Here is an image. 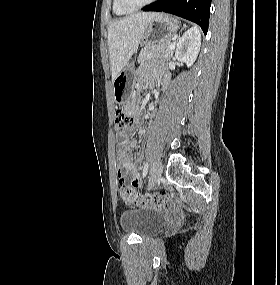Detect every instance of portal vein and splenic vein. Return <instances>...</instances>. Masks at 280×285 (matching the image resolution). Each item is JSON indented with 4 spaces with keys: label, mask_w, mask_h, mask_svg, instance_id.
I'll use <instances>...</instances> for the list:
<instances>
[{
    "label": "portal vein and splenic vein",
    "mask_w": 280,
    "mask_h": 285,
    "mask_svg": "<svg viewBox=\"0 0 280 285\" xmlns=\"http://www.w3.org/2000/svg\"><path fill=\"white\" fill-rule=\"evenodd\" d=\"M169 49H170V50H174V49H175V45H174V44H171V45L169 46Z\"/></svg>",
    "instance_id": "1"
}]
</instances>
